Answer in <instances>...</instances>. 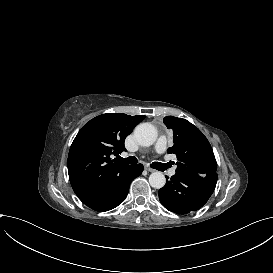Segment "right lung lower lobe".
<instances>
[{
    "label": "right lung lower lobe",
    "instance_id": "98d812e1",
    "mask_svg": "<svg viewBox=\"0 0 273 273\" xmlns=\"http://www.w3.org/2000/svg\"><path fill=\"white\" fill-rule=\"evenodd\" d=\"M143 169L142 164L131 165L128 169L113 175L107 181L102 193L84 204L99 212L117 207L126 198L132 180L138 177Z\"/></svg>",
    "mask_w": 273,
    "mask_h": 273
}]
</instances>
